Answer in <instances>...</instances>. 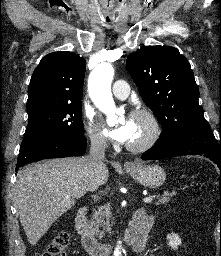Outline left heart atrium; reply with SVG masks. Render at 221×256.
<instances>
[{
	"label": "left heart atrium",
	"instance_id": "obj_1",
	"mask_svg": "<svg viewBox=\"0 0 221 256\" xmlns=\"http://www.w3.org/2000/svg\"><path fill=\"white\" fill-rule=\"evenodd\" d=\"M134 133V123L132 117L125 118L117 127L110 129L108 135L121 143L129 142Z\"/></svg>",
	"mask_w": 221,
	"mask_h": 256
}]
</instances>
